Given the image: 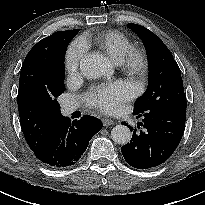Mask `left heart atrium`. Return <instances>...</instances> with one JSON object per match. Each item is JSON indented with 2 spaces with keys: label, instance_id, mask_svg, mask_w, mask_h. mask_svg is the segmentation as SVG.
Segmentation results:
<instances>
[{
  "label": "left heart atrium",
  "instance_id": "left-heart-atrium-1",
  "mask_svg": "<svg viewBox=\"0 0 205 205\" xmlns=\"http://www.w3.org/2000/svg\"><path fill=\"white\" fill-rule=\"evenodd\" d=\"M134 93L135 87L131 82L114 81L92 87L86 95V102L90 107L111 112L130 100Z\"/></svg>",
  "mask_w": 205,
  "mask_h": 205
}]
</instances>
